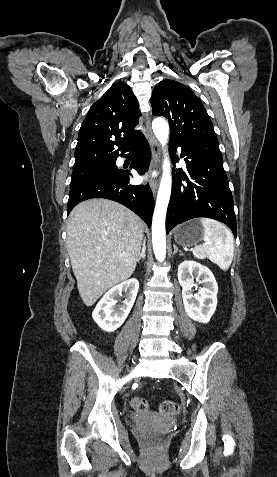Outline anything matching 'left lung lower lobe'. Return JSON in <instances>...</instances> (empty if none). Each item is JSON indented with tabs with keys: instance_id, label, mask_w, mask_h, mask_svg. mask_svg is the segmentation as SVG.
<instances>
[{
	"instance_id": "obj_1",
	"label": "left lung lower lobe",
	"mask_w": 277,
	"mask_h": 477,
	"mask_svg": "<svg viewBox=\"0 0 277 477\" xmlns=\"http://www.w3.org/2000/svg\"><path fill=\"white\" fill-rule=\"evenodd\" d=\"M180 146L188 174L177 169L169 202L166 231L196 217H207L225 223L237 236L234 203L229 189L218 141L171 140Z\"/></svg>"
}]
</instances>
